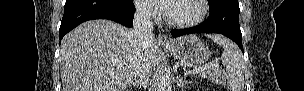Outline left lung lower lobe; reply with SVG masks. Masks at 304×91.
I'll return each mask as SVG.
<instances>
[{"mask_svg":"<svg viewBox=\"0 0 304 91\" xmlns=\"http://www.w3.org/2000/svg\"><path fill=\"white\" fill-rule=\"evenodd\" d=\"M209 10L210 15L203 23L192 28L172 30V36L179 37L193 33H219L233 40L244 53L239 25L240 9L238 0H226Z\"/></svg>","mask_w":304,"mask_h":91,"instance_id":"obj_1","label":"left lung lower lobe"}]
</instances>
